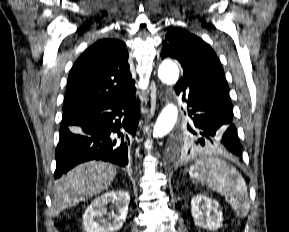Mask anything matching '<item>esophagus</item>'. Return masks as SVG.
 I'll list each match as a JSON object with an SVG mask.
<instances>
[{"mask_svg": "<svg viewBox=\"0 0 289 232\" xmlns=\"http://www.w3.org/2000/svg\"><path fill=\"white\" fill-rule=\"evenodd\" d=\"M160 97L163 98V94L162 93H160Z\"/></svg>", "mask_w": 289, "mask_h": 232, "instance_id": "34e87169", "label": "esophagus"}]
</instances>
